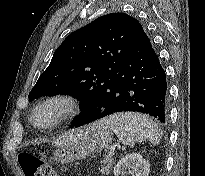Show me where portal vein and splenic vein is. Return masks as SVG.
<instances>
[{
	"label": "portal vein and splenic vein",
	"instance_id": "obj_1",
	"mask_svg": "<svg viewBox=\"0 0 205 176\" xmlns=\"http://www.w3.org/2000/svg\"><path fill=\"white\" fill-rule=\"evenodd\" d=\"M108 155H109L110 157L114 156V148H112V149L109 151Z\"/></svg>",
	"mask_w": 205,
	"mask_h": 176
}]
</instances>
